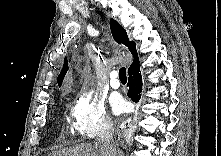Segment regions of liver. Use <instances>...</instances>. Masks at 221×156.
Returning <instances> with one entry per match:
<instances>
[{"mask_svg":"<svg viewBox=\"0 0 221 156\" xmlns=\"http://www.w3.org/2000/svg\"><path fill=\"white\" fill-rule=\"evenodd\" d=\"M117 151H115V155ZM50 156H113L112 153L106 151L100 146L94 144H81L59 151H54Z\"/></svg>","mask_w":221,"mask_h":156,"instance_id":"1","label":"liver"}]
</instances>
